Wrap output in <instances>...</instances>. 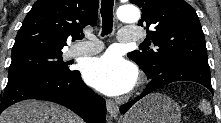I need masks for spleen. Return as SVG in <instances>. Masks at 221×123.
<instances>
[{
  "label": "spleen",
  "mask_w": 221,
  "mask_h": 123,
  "mask_svg": "<svg viewBox=\"0 0 221 123\" xmlns=\"http://www.w3.org/2000/svg\"><path fill=\"white\" fill-rule=\"evenodd\" d=\"M199 107L204 112V114H206V115H209L212 112L211 107H210V105L208 104V102L206 100H202L200 102Z\"/></svg>",
  "instance_id": "spleen-1"
}]
</instances>
